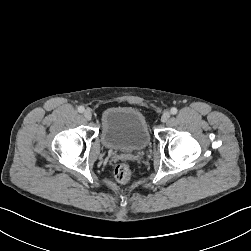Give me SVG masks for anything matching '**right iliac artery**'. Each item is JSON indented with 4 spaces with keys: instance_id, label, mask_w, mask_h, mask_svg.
<instances>
[{
    "instance_id": "right-iliac-artery-1",
    "label": "right iliac artery",
    "mask_w": 251,
    "mask_h": 251,
    "mask_svg": "<svg viewBox=\"0 0 251 251\" xmlns=\"http://www.w3.org/2000/svg\"><path fill=\"white\" fill-rule=\"evenodd\" d=\"M78 112H80V113L84 112V107L83 106H79L78 107Z\"/></svg>"
}]
</instances>
